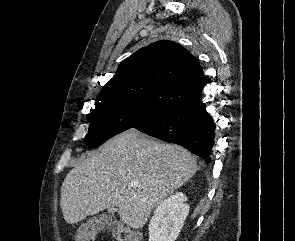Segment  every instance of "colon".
<instances>
[{"label":"colon","instance_id":"5ec220e1","mask_svg":"<svg viewBox=\"0 0 295 241\" xmlns=\"http://www.w3.org/2000/svg\"><path fill=\"white\" fill-rule=\"evenodd\" d=\"M109 227L115 239L118 241H137L133 231L122 225L120 222L111 221ZM94 234V230H80L78 235V241H88Z\"/></svg>","mask_w":295,"mask_h":241}]
</instances>
